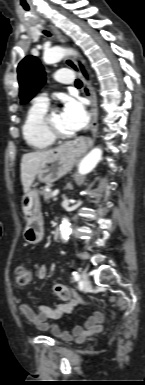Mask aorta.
<instances>
[{
  "label": "aorta",
  "instance_id": "762f6f07",
  "mask_svg": "<svg viewBox=\"0 0 145 385\" xmlns=\"http://www.w3.org/2000/svg\"><path fill=\"white\" fill-rule=\"evenodd\" d=\"M65 55H76V52L71 49H65L62 47H54L44 53V62L47 64H53L60 61ZM102 156V150L100 148L92 149L80 162L78 171L81 175L89 173L95 168ZM70 223L67 218L62 220L60 225L61 239L67 241L70 235Z\"/></svg>",
  "mask_w": 145,
  "mask_h": 385
}]
</instances>
